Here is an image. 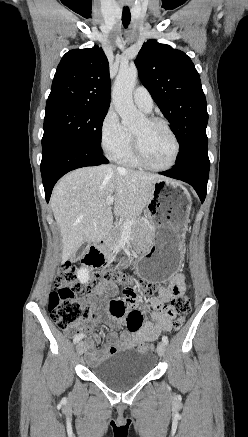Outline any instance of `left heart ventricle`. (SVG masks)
Segmentation results:
<instances>
[{
	"label": "left heart ventricle",
	"instance_id": "obj_1",
	"mask_svg": "<svg viewBox=\"0 0 248 437\" xmlns=\"http://www.w3.org/2000/svg\"><path fill=\"white\" fill-rule=\"evenodd\" d=\"M140 143L142 152L149 163L155 166L168 164L175 145L172 137L161 124H149L143 119L132 130Z\"/></svg>",
	"mask_w": 248,
	"mask_h": 437
}]
</instances>
